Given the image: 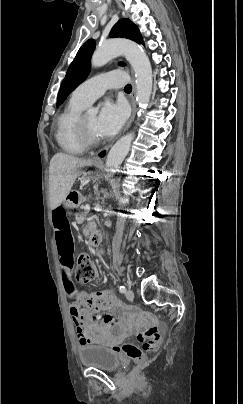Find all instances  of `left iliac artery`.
Listing matches in <instances>:
<instances>
[{
  "label": "left iliac artery",
  "mask_w": 243,
  "mask_h": 404,
  "mask_svg": "<svg viewBox=\"0 0 243 404\" xmlns=\"http://www.w3.org/2000/svg\"><path fill=\"white\" fill-rule=\"evenodd\" d=\"M119 291H120L121 293H125V292H126L125 286H120V287H119Z\"/></svg>",
  "instance_id": "44dca946"
}]
</instances>
